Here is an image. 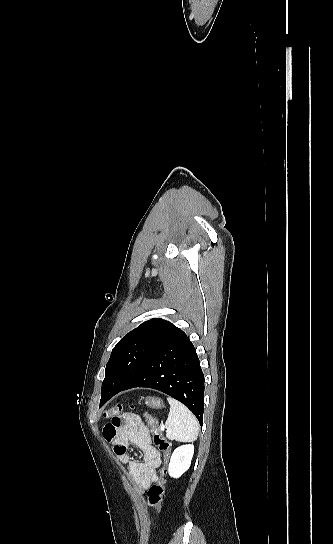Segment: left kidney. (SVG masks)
<instances>
[{
  "instance_id": "5707ae66",
  "label": "left kidney",
  "mask_w": 333,
  "mask_h": 544,
  "mask_svg": "<svg viewBox=\"0 0 333 544\" xmlns=\"http://www.w3.org/2000/svg\"><path fill=\"white\" fill-rule=\"evenodd\" d=\"M194 453L193 444H185L177 447L171 456L168 472L173 478H179L190 467Z\"/></svg>"
}]
</instances>
